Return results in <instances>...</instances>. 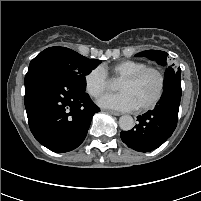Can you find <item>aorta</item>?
<instances>
[{"label": "aorta", "instance_id": "aorta-1", "mask_svg": "<svg viewBox=\"0 0 201 201\" xmlns=\"http://www.w3.org/2000/svg\"><path fill=\"white\" fill-rule=\"evenodd\" d=\"M114 88V83L110 84ZM119 127L124 131H129L134 127V120L130 115H123L119 118Z\"/></svg>", "mask_w": 201, "mask_h": 201}]
</instances>
